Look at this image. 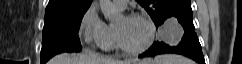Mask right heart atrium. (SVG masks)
I'll return each instance as SVG.
<instances>
[{"label": "right heart atrium", "instance_id": "right-heart-atrium-1", "mask_svg": "<svg viewBox=\"0 0 242 64\" xmlns=\"http://www.w3.org/2000/svg\"><path fill=\"white\" fill-rule=\"evenodd\" d=\"M79 36L89 45L106 44L112 39L108 25L99 17L94 6H90L83 14L79 23Z\"/></svg>", "mask_w": 242, "mask_h": 64}]
</instances>
